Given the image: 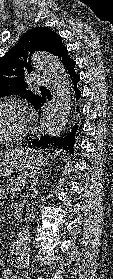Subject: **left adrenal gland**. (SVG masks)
<instances>
[{"mask_svg":"<svg viewBox=\"0 0 113 279\" xmlns=\"http://www.w3.org/2000/svg\"><path fill=\"white\" fill-rule=\"evenodd\" d=\"M39 181V176H37L34 180H33V184L31 185V189L35 192L36 191V185L38 184ZM44 181V179L41 180V183Z\"/></svg>","mask_w":113,"mask_h":279,"instance_id":"obj_1","label":"left adrenal gland"}]
</instances>
